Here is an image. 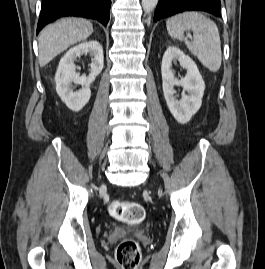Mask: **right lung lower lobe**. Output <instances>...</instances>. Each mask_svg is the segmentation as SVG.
I'll return each instance as SVG.
<instances>
[{"label": "right lung lower lobe", "instance_id": "obj_1", "mask_svg": "<svg viewBox=\"0 0 265 269\" xmlns=\"http://www.w3.org/2000/svg\"><path fill=\"white\" fill-rule=\"evenodd\" d=\"M111 0H42L37 34L48 23L65 16L95 19L107 25Z\"/></svg>", "mask_w": 265, "mask_h": 269}]
</instances>
